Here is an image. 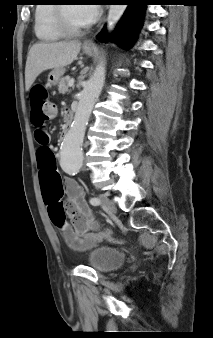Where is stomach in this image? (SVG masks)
Listing matches in <instances>:
<instances>
[{
  "instance_id": "obj_1",
  "label": "stomach",
  "mask_w": 213,
  "mask_h": 338,
  "mask_svg": "<svg viewBox=\"0 0 213 338\" xmlns=\"http://www.w3.org/2000/svg\"><path fill=\"white\" fill-rule=\"evenodd\" d=\"M83 52L86 55H92L94 53V49H89L86 47H83ZM65 69L63 67L60 68H56L54 70H52L49 75H48V85L49 86H55L59 83L62 75L64 74Z\"/></svg>"
}]
</instances>
